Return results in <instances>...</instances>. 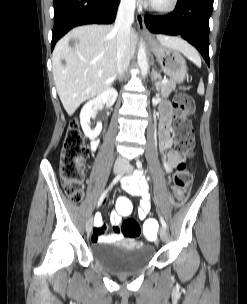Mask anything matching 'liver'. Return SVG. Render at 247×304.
Wrapping results in <instances>:
<instances>
[{"label":"liver","mask_w":247,"mask_h":304,"mask_svg":"<svg viewBox=\"0 0 247 304\" xmlns=\"http://www.w3.org/2000/svg\"><path fill=\"white\" fill-rule=\"evenodd\" d=\"M71 39L75 40L73 47L69 45ZM157 39L164 47L182 52L187 57L198 54L181 38L157 35ZM136 43L137 34L132 30V54ZM52 71L60 100L68 115H73L84 101L109 89L116 78L117 32L114 27L84 25L72 29L54 48Z\"/></svg>","instance_id":"6515ba94"}]
</instances>
